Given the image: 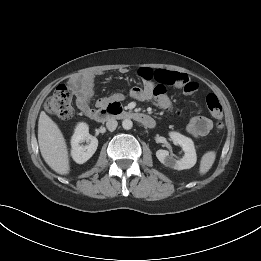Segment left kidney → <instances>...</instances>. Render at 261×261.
Wrapping results in <instances>:
<instances>
[{
  "label": "left kidney",
  "instance_id": "1",
  "mask_svg": "<svg viewBox=\"0 0 261 261\" xmlns=\"http://www.w3.org/2000/svg\"><path fill=\"white\" fill-rule=\"evenodd\" d=\"M169 136L174 144L182 147L184 151V156L180 160H176L169 155V152L167 150L159 149L156 152V157L158 158V160L165 166L176 170L192 168L197 160L193 141L178 132H170Z\"/></svg>",
  "mask_w": 261,
  "mask_h": 261
}]
</instances>
